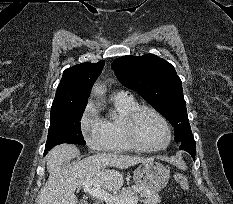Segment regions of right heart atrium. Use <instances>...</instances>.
Instances as JSON below:
<instances>
[{
	"mask_svg": "<svg viewBox=\"0 0 233 204\" xmlns=\"http://www.w3.org/2000/svg\"><path fill=\"white\" fill-rule=\"evenodd\" d=\"M81 134L87 146L93 151L106 150V138L102 119L97 115L95 106L88 103L80 118Z\"/></svg>",
	"mask_w": 233,
	"mask_h": 204,
	"instance_id": "1",
	"label": "right heart atrium"
}]
</instances>
